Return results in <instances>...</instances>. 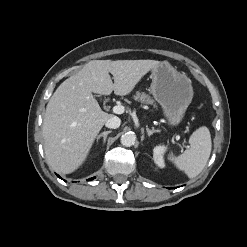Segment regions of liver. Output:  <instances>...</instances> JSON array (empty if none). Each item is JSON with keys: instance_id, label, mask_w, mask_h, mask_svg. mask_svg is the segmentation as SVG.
I'll list each match as a JSON object with an SVG mask.
<instances>
[{"instance_id": "obj_1", "label": "liver", "mask_w": 247, "mask_h": 247, "mask_svg": "<svg viewBox=\"0 0 247 247\" xmlns=\"http://www.w3.org/2000/svg\"><path fill=\"white\" fill-rule=\"evenodd\" d=\"M159 64L156 60H93L61 83L47 104L42 128L50 166L62 174L77 170L111 117L92 93L128 95Z\"/></svg>"}]
</instances>
